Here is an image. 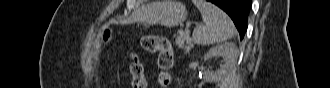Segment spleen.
I'll list each match as a JSON object with an SVG mask.
<instances>
[{"label": "spleen", "mask_w": 330, "mask_h": 88, "mask_svg": "<svg viewBox=\"0 0 330 88\" xmlns=\"http://www.w3.org/2000/svg\"><path fill=\"white\" fill-rule=\"evenodd\" d=\"M199 9L204 26L196 27L193 40L199 45H211L232 38L235 27L228 15L216 5L205 0H193Z\"/></svg>", "instance_id": "3e777b00"}]
</instances>
